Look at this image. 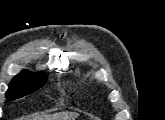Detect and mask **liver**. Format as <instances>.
I'll return each mask as SVG.
<instances>
[{"label":"liver","mask_w":165,"mask_h":120,"mask_svg":"<svg viewBox=\"0 0 165 120\" xmlns=\"http://www.w3.org/2000/svg\"><path fill=\"white\" fill-rule=\"evenodd\" d=\"M78 116L77 113L73 112H66V113H59L52 117H46V120H74Z\"/></svg>","instance_id":"obj_1"}]
</instances>
